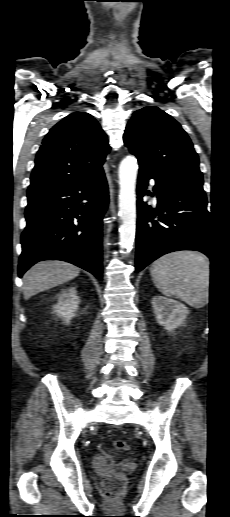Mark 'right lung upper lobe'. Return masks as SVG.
<instances>
[{
	"label": "right lung upper lobe",
	"instance_id": "right-lung-upper-lobe-1",
	"mask_svg": "<svg viewBox=\"0 0 230 517\" xmlns=\"http://www.w3.org/2000/svg\"><path fill=\"white\" fill-rule=\"evenodd\" d=\"M110 147L88 113H71L46 135L37 152L28 195L72 185L103 171Z\"/></svg>",
	"mask_w": 230,
	"mask_h": 517
}]
</instances>
